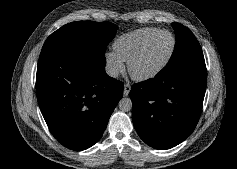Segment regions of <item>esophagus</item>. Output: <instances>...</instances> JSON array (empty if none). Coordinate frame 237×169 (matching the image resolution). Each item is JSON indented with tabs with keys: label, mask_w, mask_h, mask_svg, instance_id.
Listing matches in <instances>:
<instances>
[{
	"label": "esophagus",
	"mask_w": 237,
	"mask_h": 169,
	"mask_svg": "<svg viewBox=\"0 0 237 169\" xmlns=\"http://www.w3.org/2000/svg\"><path fill=\"white\" fill-rule=\"evenodd\" d=\"M130 90H131V85L129 83H126L124 85V92H123L124 96H128V94L130 93Z\"/></svg>",
	"instance_id": "esophagus-1"
}]
</instances>
